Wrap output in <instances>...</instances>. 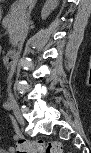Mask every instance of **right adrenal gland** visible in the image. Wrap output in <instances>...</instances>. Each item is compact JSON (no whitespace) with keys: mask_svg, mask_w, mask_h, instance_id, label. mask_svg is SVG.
Instances as JSON below:
<instances>
[{"mask_svg":"<svg viewBox=\"0 0 91 153\" xmlns=\"http://www.w3.org/2000/svg\"><path fill=\"white\" fill-rule=\"evenodd\" d=\"M38 0H36L35 1V3H34V5H33V7L30 9V11H29V13H31V11L33 10V8L35 7V5H36V2H37Z\"/></svg>","mask_w":91,"mask_h":153,"instance_id":"2a0ac1e0","label":"right adrenal gland"}]
</instances>
